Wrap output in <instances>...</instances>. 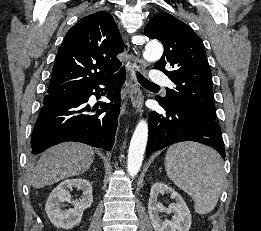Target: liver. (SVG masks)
<instances>
[{
    "label": "liver",
    "instance_id": "6515ba94",
    "mask_svg": "<svg viewBox=\"0 0 261 231\" xmlns=\"http://www.w3.org/2000/svg\"><path fill=\"white\" fill-rule=\"evenodd\" d=\"M94 160L90 146L68 142L48 149L31 169L29 182L34 188L52 185L87 171Z\"/></svg>",
    "mask_w": 261,
    "mask_h": 231
}]
</instances>
